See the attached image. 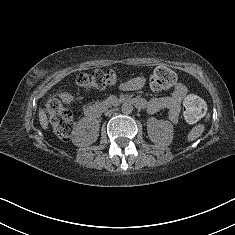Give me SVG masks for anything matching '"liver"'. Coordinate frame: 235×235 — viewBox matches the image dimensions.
<instances>
[{"label":"liver","mask_w":235,"mask_h":235,"mask_svg":"<svg viewBox=\"0 0 235 235\" xmlns=\"http://www.w3.org/2000/svg\"><path fill=\"white\" fill-rule=\"evenodd\" d=\"M39 119H40V123H41L42 128L47 129L48 121H47L46 113L43 109L39 110Z\"/></svg>","instance_id":"1"}]
</instances>
